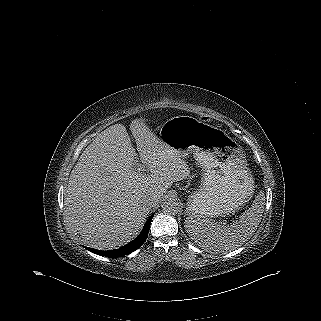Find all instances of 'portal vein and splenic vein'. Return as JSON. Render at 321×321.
<instances>
[{
	"label": "portal vein and splenic vein",
	"instance_id": "1",
	"mask_svg": "<svg viewBox=\"0 0 321 321\" xmlns=\"http://www.w3.org/2000/svg\"><path fill=\"white\" fill-rule=\"evenodd\" d=\"M138 171L139 172H144L145 171V165L143 163L138 165Z\"/></svg>",
	"mask_w": 321,
	"mask_h": 321
}]
</instances>
